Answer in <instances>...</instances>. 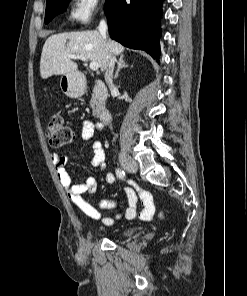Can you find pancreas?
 I'll list each match as a JSON object with an SVG mask.
<instances>
[{"instance_id":"pancreas-1","label":"pancreas","mask_w":247,"mask_h":296,"mask_svg":"<svg viewBox=\"0 0 247 296\" xmlns=\"http://www.w3.org/2000/svg\"><path fill=\"white\" fill-rule=\"evenodd\" d=\"M90 106L93 109V115L96 114V101L94 99L91 100Z\"/></svg>"}]
</instances>
